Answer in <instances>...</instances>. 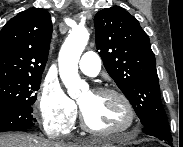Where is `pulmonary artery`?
<instances>
[{
    "instance_id": "obj_1",
    "label": "pulmonary artery",
    "mask_w": 183,
    "mask_h": 147,
    "mask_svg": "<svg viewBox=\"0 0 183 147\" xmlns=\"http://www.w3.org/2000/svg\"><path fill=\"white\" fill-rule=\"evenodd\" d=\"M79 69L85 75L96 76L101 69L100 57L93 51L85 52L79 61Z\"/></svg>"
}]
</instances>
